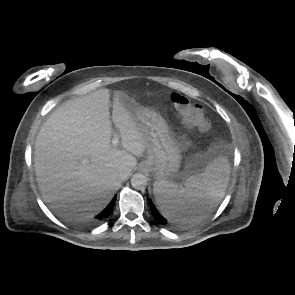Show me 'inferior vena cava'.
I'll list each match as a JSON object with an SVG mask.
<instances>
[{"label":"inferior vena cava","instance_id":"602c4592","mask_svg":"<svg viewBox=\"0 0 295 295\" xmlns=\"http://www.w3.org/2000/svg\"><path fill=\"white\" fill-rule=\"evenodd\" d=\"M126 177H127V174L123 173V174L120 175L119 179L120 180H125Z\"/></svg>","mask_w":295,"mask_h":295}]
</instances>
